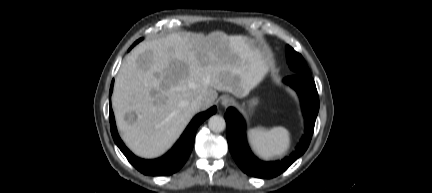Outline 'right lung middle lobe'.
<instances>
[{"instance_id":"1","label":"right lung middle lobe","mask_w":432,"mask_h":193,"mask_svg":"<svg viewBox=\"0 0 432 193\" xmlns=\"http://www.w3.org/2000/svg\"><path fill=\"white\" fill-rule=\"evenodd\" d=\"M141 40H142V39H140V40L136 41V42H135V43L133 44V46H134L135 44H137V43H138L139 41H141ZM133 46H132V47H133Z\"/></svg>"}]
</instances>
